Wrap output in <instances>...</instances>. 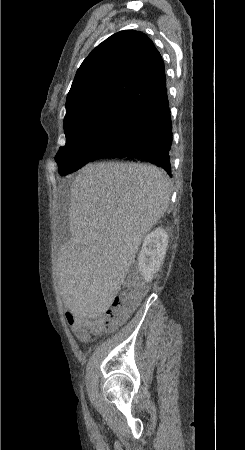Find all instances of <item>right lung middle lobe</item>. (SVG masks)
Masks as SVG:
<instances>
[{
	"label": "right lung middle lobe",
	"instance_id": "1",
	"mask_svg": "<svg viewBox=\"0 0 245 450\" xmlns=\"http://www.w3.org/2000/svg\"><path fill=\"white\" fill-rule=\"evenodd\" d=\"M137 110L113 103L82 108L64 119L66 145L55 158L60 175L72 173L126 134Z\"/></svg>",
	"mask_w": 245,
	"mask_h": 450
}]
</instances>
